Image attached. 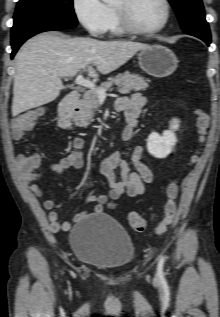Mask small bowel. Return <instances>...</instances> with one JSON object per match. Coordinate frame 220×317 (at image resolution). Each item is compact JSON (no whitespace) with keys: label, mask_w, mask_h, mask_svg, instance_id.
<instances>
[{"label":"small bowel","mask_w":220,"mask_h":317,"mask_svg":"<svg viewBox=\"0 0 220 317\" xmlns=\"http://www.w3.org/2000/svg\"><path fill=\"white\" fill-rule=\"evenodd\" d=\"M145 98L140 94H134L130 98H120L117 101V108L125 113L127 126L123 131L124 139H132L135 134L137 118L139 117ZM73 150L62 157L58 162L49 166L48 170L61 175L68 169H80L84 164L83 147L84 140L74 135L72 137ZM144 148L136 146L129 155V160L122 159L119 151H114L103 158L101 162V172L110 185L108 194L89 193L87 202L94 203L93 212L100 214L104 210L105 204L109 200H116L123 194L135 197L144 194L146 185L153 180L152 172L149 166L143 161ZM34 157L36 161L29 160ZM19 168L24 181L29 185L33 194L39 198L45 195L44 188L39 184L43 172L38 170L39 159L37 156L20 155L18 157ZM116 171L119 172L117 177ZM61 206L52 199L43 201V208L48 211V220L52 231L59 232L68 230L71 226L69 222H60L57 209ZM86 216V212L75 216L76 220H81Z\"/></svg>","instance_id":"small-bowel-1"}]
</instances>
